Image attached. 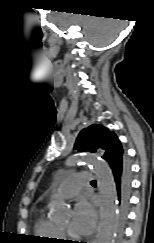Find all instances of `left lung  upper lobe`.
<instances>
[{"label":"left lung upper lobe","instance_id":"obj_1","mask_svg":"<svg viewBox=\"0 0 154 243\" xmlns=\"http://www.w3.org/2000/svg\"><path fill=\"white\" fill-rule=\"evenodd\" d=\"M74 148L80 152L101 151L106 161L118 156L124 158V151L116 134L102 125L93 124L83 129L76 139Z\"/></svg>","mask_w":154,"mask_h":243}]
</instances>
